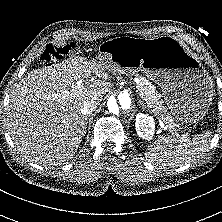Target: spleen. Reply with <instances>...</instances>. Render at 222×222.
<instances>
[{
	"label": "spleen",
	"instance_id": "obj_1",
	"mask_svg": "<svg viewBox=\"0 0 222 222\" xmlns=\"http://www.w3.org/2000/svg\"><path fill=\"white\" fill-rule=\"evenodd\" d=\"M211 133L197 135L191 140L178 141L172 137L160 136L148 148L147 157L153 163L164 166H180L195 162L208 150Z\"/></svg>",
	"mask_w": 222,
	"mask_h": 222
}]
</instances>
